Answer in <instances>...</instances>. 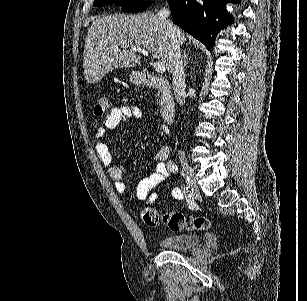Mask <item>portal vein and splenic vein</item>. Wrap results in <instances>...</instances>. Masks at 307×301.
Listing matches in <instances>:
<instances>
[{"mask_svg": "<svg viewBox=\"0 0 307 301\" xmlns=\"http://www.w3.org/2000/svg\"><path fill=\"white\" fill-rule=\"evenodd\" d=\"M117 50H120L119 46H116ZM131 52H140V54H144V56H149L150 52L149 50H146V48H140V46H130ZM154 68L157 70V72H165L166 66L161 62V60H155L154 62Z\"/></svg>", "mask_w": 307, "mask_h": 301, "instance_id": "obj_1", "label": "portal vein and splenic vein"}]
</instances>
